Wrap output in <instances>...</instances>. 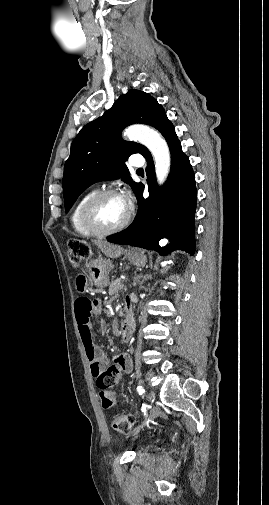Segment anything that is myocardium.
Masks as SVG:
<instances>
[{"instance_id": "myocardium-1", "label": "myocardium", "mask_w": 269, "mask_h": 505, "mask_svg": "<svg viewBox=\"0 0 269 505\" xmlns=\"http://www.w3.org/2000/svg\"><path fill=\"white\" fill-rule=\"evenodd\" d=\"M112 195H119V192L115 189H104L95 192L83 205L81 210V220L83 225L93 234L98 236H108L118 233L124 230L131 221L132 212L128 208L127 215L124 220L111 228H105L99 225L93 217V211L95 206L104 198Z\"/></svg>"}]
</instances>
